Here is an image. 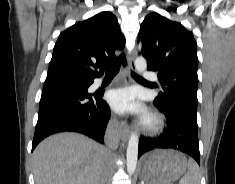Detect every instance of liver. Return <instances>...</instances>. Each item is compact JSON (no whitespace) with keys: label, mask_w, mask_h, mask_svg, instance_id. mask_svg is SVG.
I'll return each instance as SVG.
<instances>
[{"label":"liver","mask_w":235,"mask_h":184,"mask_svg":"<svg viewBox=\"0 0 235 184\" xmlns=\"http://www.w3.org/2000/svg\"><path fill=\"white\" fill-rule=\"evenodd\" d=\"M109 158L103 146L82 134H54L33 152L35 184H100Z\"/></svg>","instance_id":"1"}]
</instances>
